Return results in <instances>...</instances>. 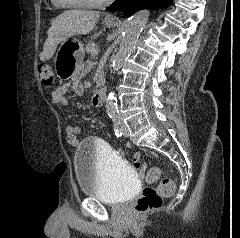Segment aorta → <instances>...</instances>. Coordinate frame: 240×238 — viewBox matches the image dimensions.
<instances>
[{
	"instance_id": "aorta-1",
	"label": "aorta",
	"mask_w": 240,
	"mask_h": 238,
	"mask_svg": "<svg viewBox=\"0 0 240 238\" xmlns=\"http://www.w3.org/2000/svg\"><path fill=\"white\" fill-rule=\"evenodd\" d=\"M149 16V10H141L130 18L125 34L120 43L119 50L113 58V71H118L134 50L137 40L145 27ZM105 107L108 115L113 117L117 116V100L113 93H110L107 96Z\"/></svg>"
}]
</instances>
